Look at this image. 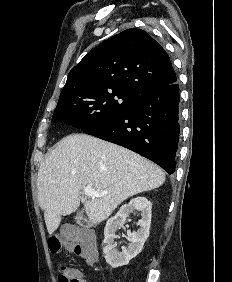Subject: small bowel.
I'll return each mask as SVG.
<instances>
[{"label":"small bowel","instance_id":"obj_1","mask_svg":"<svg viewBox=\"0 0 232 282\" xmlns=\"http://www.w3.org/2000/svg\"><path fill=\"white\" fill-rule=\"evenodd\" d=\"M73 273L80 278V282H88L86 280L81 279V275L78 271L73 270Z\"/></svg>","mask_w":232,"mask_h":282}]
</instances>
